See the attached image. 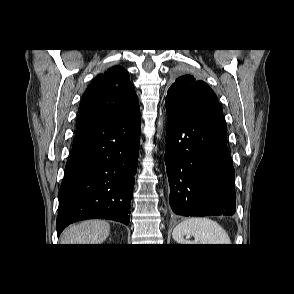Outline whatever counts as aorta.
<instances>
[{
    "mask_svg": "<svg viewBox=\"0 0 294 294\" xmlns=\"http://www.w3.org/2000/svg\"><path fill=\"white\" fill-rule=\"evenodd\" d=\"M158 125H159V127H160L161 123L159 122Z\"/></svg>",
    "mask_w": 294,
    "mask_h": 294,
    "instance_id": "obj_1",
    "label": "aorta"
}]
</instances>
